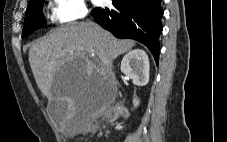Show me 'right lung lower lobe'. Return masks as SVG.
<instances>
[{
	"label": "right lung lower lobe",
	"mask_w": 227,
	"mask_h": 142,
	"mask_svg": "<svg viewBox=\"0 0 227 142\" xmlns=\"http://www.w3.org/2000/svg\"><path fill=\"white\" fill-rule=\"evenodd\" d=\"M112 1L114 9L105 7L92 10L95 21L118 38H131L145 44L158 63L163 16L161 0Z\"/></svg>",
	"instance_id": "1"
}]
</instances>
